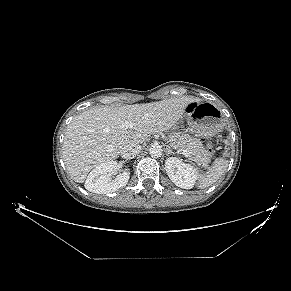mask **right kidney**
<instances>
[{
    "instance_id": "ca27d5eb",
    "label": "right kidney",
    "mask_w": 291,
    "mask_h": 291,
    "mask_svg": "<svg viewBox=\"0 0 291 291\" xmlns=\"http://www.w3.org/2000/svg\"><path fill=\"white\" fill-rule=\"evenodd\" d=\"M119 168V164L113 160L96 166L88 175L85 188L93 193L106 194L126 186L130 178L129 172L120 173L112 179V175H115Z\"/></svg>"
}]
</instances>
